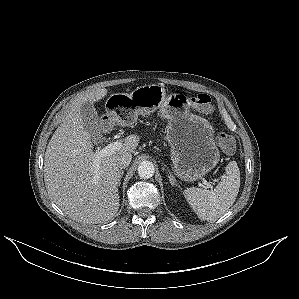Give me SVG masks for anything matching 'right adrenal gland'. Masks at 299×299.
<instances>
[{"label":"right adrenal gland","instance_id":"2a0ac1e0","mask_svg":"<svg viewBox=\"0 0 299 299\" xmlns=\"http://www.w3.org/2000/svg\"><path fill=\"white\" fill-rule=\"evenodd\" d=\"M123 174H124V170H121L120 171V178L118 179V187L121 185V178L123 177Z\"/></svg>","mask_w":299,"mask_h":299}]
</instances>
